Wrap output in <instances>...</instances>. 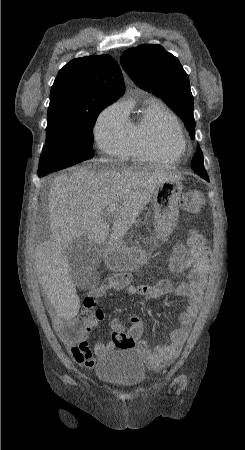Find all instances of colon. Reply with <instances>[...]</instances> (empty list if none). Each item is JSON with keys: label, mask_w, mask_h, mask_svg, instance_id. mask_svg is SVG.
Segmentation results:
<instances>
[{"label": "colon", "mask_w": 245, "mask_h": 450, "mask_svg": "<svg viewBox=\"0 0 245 450\" xmlns=\"http://www.w3.org/2000/svg\"><path fill=\"white\" fill-rule=\"evenodd\" d=\"M182 208L186 212L196 214L201 212L205 207L203 195L198 190H187L181 200ZM187 244L190 250L198 254L201 259L207 260L210 257V250L206 245L203 234L198 230H190L187 233ZM131 280V276L126 271L116 272L110 276L100 277L99 283L103 290H110L113 287L126 285ZM105 318V314L100 309H95L91 313L83 315L77 319L64 321L59 325L60 331L70 340H74L82 345H86L85 338L92 329L94 321H101ZM143 331V321L139 317H132L131 327L129 331H114L113 338L121 347L132 346L139 339Z\"/></svg>", "instance_id": "5ec220e1"}]
</instances>
